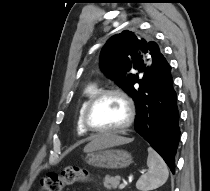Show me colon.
<instances>
[{"mask_svg": "<svg viewBox=\"0 0 210 191\" xmlns=\"http://www.w3.org/2000/svg\"><path fill=\"white\" fill-rule=\"evenodd\" d=\"M89 178L90 173L86 168L69 166L59 174L49 173L43 177L40 181L39 191H61L66 185L86 182Z\"/></svg>", "mask_w": 210, "mask_h": 191, "instance_id": "5ec220e1", "label": "colon"}]
</instances>
